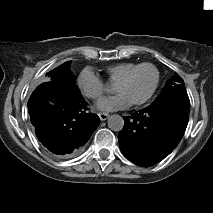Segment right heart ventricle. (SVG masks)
<instances>
[{
	"instance_id": "obj_1",
	"label": "right heart ventricle",
	"mask_w": 213,
	"mask_h": 213,
	"mask_svg": "<svg viewBox=\"0 0 213 213\" xmlns=\"http://www.w3.org/2000/svg\"><path fill=\"white\" fill-rule=\"evenodd\" d=\"M142 64V63H141ZM135 62H121L108 66L105 69L106 75L110 83L115 84L121 77L131 71L133 68L141 65Z\"/></svg>"
}]
</instances>
